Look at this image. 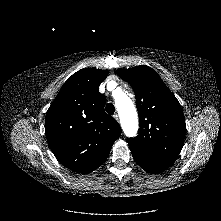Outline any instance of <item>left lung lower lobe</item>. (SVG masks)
<instances>
[{
	"label": "left lung lower lobe",
	"instance_id": "obj_1",
	"mask_svg": "<svg viewBox=\"0 0 221 221\" xmlns=\"http://www.w3.org/2000/svg\"><path fill=\"white\" fill-rule=\"evenodd\" d=\"M132 156L135 159L136 163L146 170L147 172L156 174L166 170L169 166L173 164L174 161L160 159L154 156H151L136 147L130 146Z\"/></svg>",
	"mask_w": 221,
	"mask_h": 221
}]
</instances>
